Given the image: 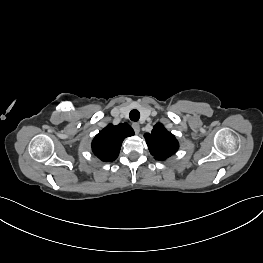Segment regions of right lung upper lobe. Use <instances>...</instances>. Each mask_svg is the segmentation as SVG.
<instances>
[{
    "label": "right lung upper lobe",
    "mask_w": 263,
    "mask_h": 263,
    "mask_svg": "<svg viewBox=\"0 0 263 263\" xmlns=\"http://www.w3.org/2000/svg\"><path fill=\"white\" fill-rule=\"evenodd\" d=\"M132 135L134 131L127 123L116 126L109 124L95 136L92 151L101 161H114L119 155L123 140Z\"/></svg>",
    "instance_id": "obj_1"
}]
</instances>
